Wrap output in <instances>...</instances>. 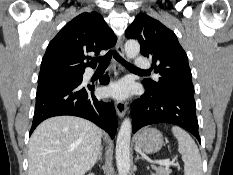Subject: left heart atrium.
Returning a JSON list of instances; mask_svg holds the SVG:
<instances>
[{
    "instance_id": "1",
    "label": "left heart atrium",
    "mask_w": 233,
    "mask_h": 175,
    "mask_svg": "<svg viewBox=\"0 0 233 175\" xmlns=\"http://www.w3.org/2000/svg\"><path fill=\"white\" fill-rule=\"evenodd\" d=\"M131 92V85L126 80H121L111 84L107 88V93L115 98L124 99L129 96Z\"/></svg>"
}]
</instances>
